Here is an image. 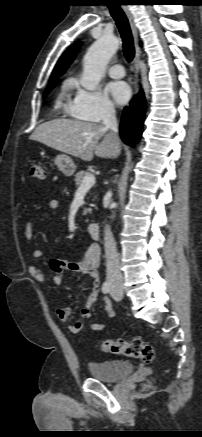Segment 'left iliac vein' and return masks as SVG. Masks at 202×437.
I'll return each mask as SVG.
<instances>
[{
    "mask_svg": "<svg viewBox=\"0 0 202 437\" xmlns=\"http://www.w3.org/2000/svg\"><path fill=\"white\" fill-rule=\"evenodd\" d=\"M111 295L116 301H120L122 298V294L118 293L114 288L111 290Z\"/></svg>",
    "mask_w": 202,
    "mask_h": 437,
    "instance_id": "obj_1",
    "label": "left iliac vein"
}]
</instances>
